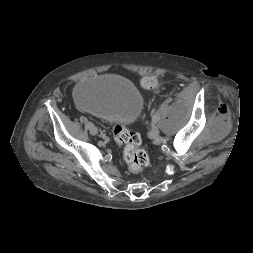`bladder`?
<instances>
[{"label":"bladder","mask_w":253,"mask_h":253,"mask_svg":"<svg viewBox=\"0 0 253 253\" xmlns=\"http://www.w3.org/2000/svg\"><path fill=\"white\" fill-rule=\"evenodd\" d=\"M73 96L82 109L109 123L128 125L140 115L144 100L128 79L101 75L81 80Z\"/></svg>","instance_id":"31cf9c89"}]
</instances>
